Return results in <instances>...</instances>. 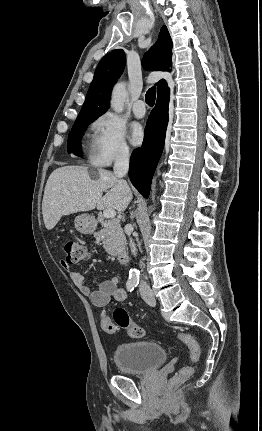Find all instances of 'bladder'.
I'll return each mask as SVG.
<instances>
[{
  "label": "bladder",
  "mask_w": 262,
  "mask_h": 431,
  "mask_svg": "<svg viewBox=\"0 0 262 431\" xmlns=\"http://www.w3.org/2000/svg\"><path fill=\"white\" fill-rule=\"evenodd\" d=\"M167 351L160 343L138 340L119 345L115 350V363L122 372L144 375L156 371L164 364Z\"/></svg>",
  "instance_id": "31cf9c89"
}]
</instances>
